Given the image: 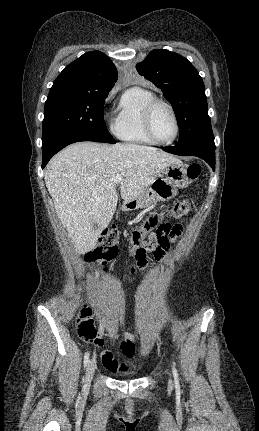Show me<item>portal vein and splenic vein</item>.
Returning a JSON list of instances; mask_svg holds the SVG:
<instances>
[{"label": "portal vein and splenic vein", "mask_w": 259, "mask_h": 431, "mask_svg": "<svg viewBox=\"0 0 259 431\" xmlns=\"http://www.w3.org/2000/svg\"><path fill=\"white\" fill-rule=\"evenodd\" d=\"M123 180V176L121 175V174H117L113 179H112V181L113 182H116V183H118V182H120V181H122Z\"/></svg>", "instance_id": "18ae733b"}]
</instances>
